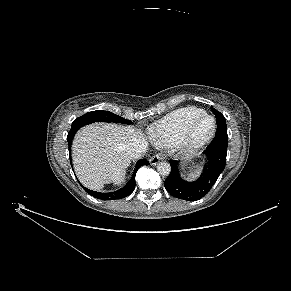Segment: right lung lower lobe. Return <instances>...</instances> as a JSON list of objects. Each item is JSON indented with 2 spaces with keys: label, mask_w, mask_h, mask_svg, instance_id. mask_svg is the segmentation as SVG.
<instances>
[{
  "label": "right lung lower lobe",
  "mask_w": 291,
  "mask_h": 291,
  "mask_svg": "<svg viewBox=\"0 0 291 291\" xmlns=\"http://www.w3.org/2000/svg\"><path fill=\"white\" fill-rule=\"evenodd\" d=\"M82 126L80 125H75L72 124L71 130L68 133L67 136V141L69 144V156H70V160H71V144H72V139L74 137V134L76 133V131ZM143 165H149V162L146 159H141L138 161L137 165H136V169L132 175V178L130 179V181L128 182V184L126 186H124L122 189L115 191V192H110V193H101V192H96V191H92L89 190L85 187H83L85 189V191L92 195L93 197L97 198V199H102V200H115V199H121V198H125L128 195H130L134 189H135V175L137 170L143 166Z\"/></svg>",
  "instance_id": "obj_1"
}]
</instances>
